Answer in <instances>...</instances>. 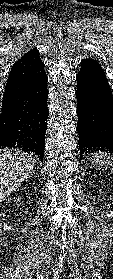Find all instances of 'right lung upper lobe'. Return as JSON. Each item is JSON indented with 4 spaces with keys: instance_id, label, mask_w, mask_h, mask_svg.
<instances>
[{
    "instance_id": "1",
    "label": "right lung upper lobe",
    "mask_w": 113,
    "mask_h": 279,
    "mask_svg": "<svg viewBox=\"0 0 113 279\" xmlns=\"http://www.w3.org/2000/svg\"><path fill=\"white\" fill-rule=\"evenodd\" d=\"M41 65H43V62L39 56L38 50L36 49L28 51L17 60L11 68L2 105H4L7 98L12 95L13 91L18 89L26 80L37 72V69Z\"/></svg>"
}]
</instances>
